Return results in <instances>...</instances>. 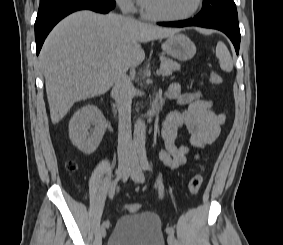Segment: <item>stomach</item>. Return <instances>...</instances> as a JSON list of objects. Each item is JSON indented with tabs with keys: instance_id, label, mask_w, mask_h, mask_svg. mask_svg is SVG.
Here are the masks:
<instances>
[{
	"instance_id": "1",
	"label": "stomach",
	"mask_w": 283,
	"mask_h": 245,
	"mask_svg": "<svg viewBox=\"0 0 283 245\" xmlns=\"http://www.w3.org/2000/svg\"><path fill=\"white\" fill-rule=\"evenodd\" d=\"M162 49L171 57L187 61L196 53L195 44L184 34L175 33L162 44Z\"/></svg>"
}]
</instances>
